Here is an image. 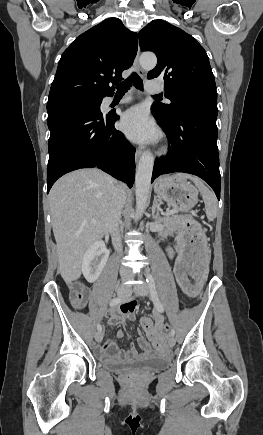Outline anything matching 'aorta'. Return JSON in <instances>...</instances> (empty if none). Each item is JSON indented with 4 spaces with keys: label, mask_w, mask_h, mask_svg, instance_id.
Listing matches in <instances>:
<instances>
[{
    "label": "aorta",
    "mask_w": 263,
    "mask_h": 435,
    "mask_svg": "<svg viewBox=\"0 0 263 435\" xmlns=\"http://www.w3.org/2000/svg\"><path fill=\"white\" fill-rule=\"evenodd\" d=\"M157 58L154 54H143L140 64L145 69L156 66ZM154 165V157L150 151L142 154L135 177L136 213L140 217L145 210L150 191L151 177Z\"/></svg>",
    "instance_id": "aorta-1"
}]
</instances>
